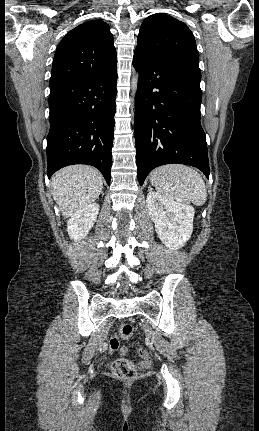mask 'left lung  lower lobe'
Returning <instances> with one entry per match:
<instances>
[{
    "label": "left lung lower lobe",
    "instance_id": "0a47b994",
    "mask_svg": "<svg viewBox=\"0 0 259 431\" xmlns=\"http://www.w3.org/2000/svg\"><path fill=\"white\" fill-rule=\"evenodd\" d=\"M139 72L135 105L138 181L155 167L180 163L200 169L208 178L205 133L200 123V79L135 50Z\"/></svg>",
    "mask_w": 259,
    "mask_h": 431
}]
</instances>
